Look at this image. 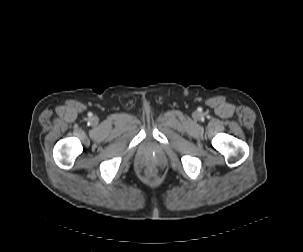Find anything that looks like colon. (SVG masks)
Wrapping results in <instances>:
<instances>
[{
	"label": "colon",
	"mask_w": 303,
	"mask_h": 252,
	"mask_svg": "<svg viewBox=\"0 0 303 252\" xmlns=\"http://www.w3.org/2000/svg\"><path fill=\"white\" fill-rule=\"evenodd\" d=\"M148 174L149 176L154 177L156 175V169L154 168L149 169Z\"/></svg>",
	"instance_id": "1"
}]
</instances>
